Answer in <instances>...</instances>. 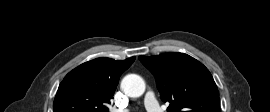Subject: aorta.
<instances>
[{"label": "aorta", "mask_w": 270, "mask_h": 112, "mask_svg": "<svg viewBox=\"0 0 270 112\" xmlns=\"http://www.w3.org/2000/svg\"><path fill=\"white\" fill-rule=\"evenodd\" d=\"M121 89L129 97H140L145 92V82L139 75L128 74L122 79Z\"/></svg>", "instance_id": "aorta-1"}]
</instances>
